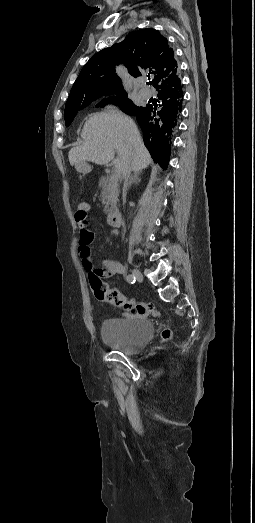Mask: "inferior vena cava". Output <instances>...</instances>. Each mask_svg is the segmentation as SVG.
I'll list each match as a JSON object with an SVG mask.
<instances>
[{
	"mask_svg": "<svg viewBox=\"0 0 255 523\" xmlns=\"http://www.w3.org/2000/svg\"><path fill=\"white\" fill-rule=\"evenodd\" d=\"M130 174H131V168H130V166H128V168H126L125 172H123V178H124L123 198H125V196H126L127 184L130 180Z\"/></svg>",
	"mask_w": 255,
	"mask_h": 523,
	"instance_id": "602c4592",
	"label": "inferior vena cava"
}]
</instances>
